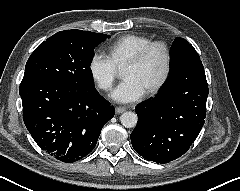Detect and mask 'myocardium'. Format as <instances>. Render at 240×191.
Segmentation results:
<instances>
[{"instance_id": "1", "label": "myocardium", "mask_w": 240, "mask_h": 191, "mask_svg": "<svg viewBox=\"0 0 240 191\" xmlns=\"http://www.w3.org/2000/svg\"><path fill=\"white\" fill-rule=\"evenodd\" d=\"M155 47H161L164 50L165 66H164L163 74H162L161 78L159 79V81L146 91L147 94H149V95L154 94V93L158 92L160 89H162L170 76L171 67H172V52H171L169 45L166 42L160 41V40L151 41L150 43L143 46L124 65V66H127V65L140 64L146 58L148 53Z\"/></svg>"}]
</instances>
